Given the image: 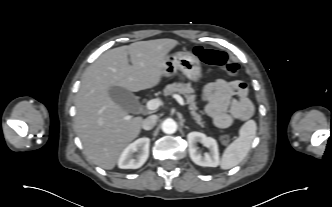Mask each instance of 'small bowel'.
<instances>
[{
    "mask_svg": "<svg viewBox=\"0 0 332 207\" xmlns=\"http://www.w3.org/2000/svg\"><path fill=\"white\" fill-rule=\"evenodd\" d=\"M205 112L218 128H227L235 121H246L254 112L248 97L247 85L242 81L217 79L202 93Z\"/></svg>",
    "mask_w": 332,
    "mask_h": 207,
    "instance_id": "c3829d8e",
    "label": "small bowel"
}]
</instances>
